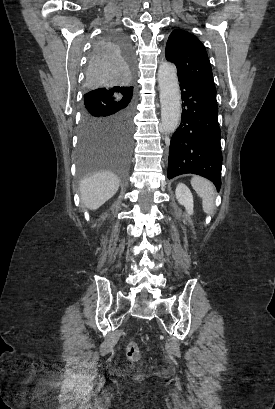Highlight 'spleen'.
Segmentation results:
<instances>
[{"mask_svg": "<svg viewBox=\"0 0 275 409\" xmlns=\"http://www.w3.org/2000/svg\"><path fill=\"white\" fill-rule=\"evenodd\" d=\"M191 184L198 196H201L202 198L203 211L208 213V215H211L215 207L216 194L213 182L206 180V178H202V176H193V178H191Z\"/></svg>", "mask_w": 275, "mask_h": 409, "instance_id": "3e777b00", "label": "spleen"}]
</instances>
